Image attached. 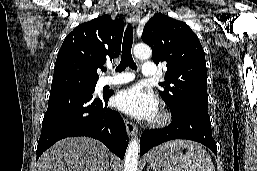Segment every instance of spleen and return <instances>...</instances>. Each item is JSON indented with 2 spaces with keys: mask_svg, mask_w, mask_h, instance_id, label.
Segmentation results:
<instances>
[{
  "mask_svg": "<svg viewBox=\"0 0 257 171\" xmlns=\"http://www.w3.org/2000/svg\"><path fill=\"white\" fill-rule=\"evenodd\" d=\"M165 146L187 149V153L180 158L174 171H215L211 157L200 144L188 140H173L167 142Z\"/></svg>",
  "mask_w": 257,
  "mask_h": 171,
  "instance_id": "3e777b00",
  "label": "spleen"
}]
</instances>
